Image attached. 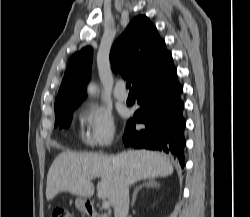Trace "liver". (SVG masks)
<instances>
[{"label": "liver", "mask_w": 250, "mask_h": 217, "mask_svg": "<svg viewBox=\"0 0 250 217\" xmlns=\"http://www.w3.org/2000/svg\"><path fill=\"white\" fill-rule=\"evenodd\" d=\"M173 173V165L165 154L149 150L123 151L115 156L63 152L53 161L47 175L46 198L52 200L60 192L84 198L93 196L91 180L100 178L97 196L114 206L121 178L128 184L140 180L162 178Z\"/></svg>", "instance_id": "obj_1"}]
</instances>
